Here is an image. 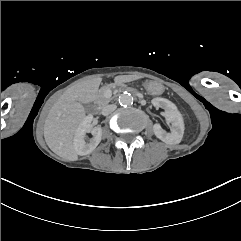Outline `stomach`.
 Segmentation results:
<instances>
[{
    "instance_id": "obj_1",
    "label": "stomach",
    "mask_w": 241,
    "mask_h": 241,
    "mask_svg": "<svg viewBox=\"0 0 241 241\" xmlns=\"http://www.w3.org/2000/svg\"><path fill=\"white\" fill-rule=\"evenodd\" d=\"M145 88L152 95H160L164 92V86L159 81H147Z\"/></svg>"
}]
</instances>
